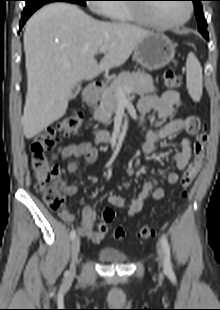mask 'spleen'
<instances>
[{"instance_id": "spleen-1", "label": "spleen", "mask_w": 220, "mask_h": 310, "mask_svg": "<svg viewBox=\"0 0 220 310\" xmlns=\"http://www.w3.org/2000/svg\"><path fill=\"white\" fill-rule=\"evenodd\" d=\"M186 68L189 94L193 100L199 101L203 89L202 67L193 53L189 54L187 57Z\"/></svg>"}]
</instances>
